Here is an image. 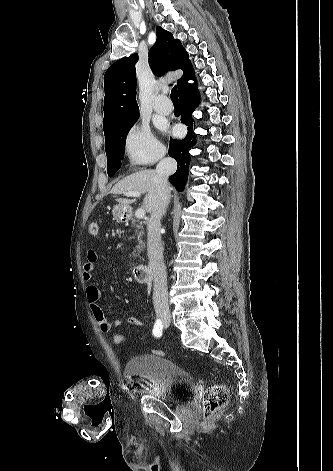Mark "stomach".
Returning <instances> with one entry per match:
<instances>
[{
	"label": "stomach",
	"instance_id": "0dacf381",
	"mask_svg": "<svg viewBox=\"0 0 333 471\" xmlns=\"http://www.w3.org/2000/svg\"><path fill=\"white\" fill-rule=\"evenodd\" d=\"M127 210H128V206H124L121 204L115 205L112 210L114 219L119 222H122L123 220H125Z\"/></svg>",
	"mask_w": 333,
	"mask_h": 471
}]
</instances>
